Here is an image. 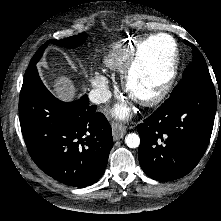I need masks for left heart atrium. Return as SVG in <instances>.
Returning <instances> with one entry per match:
<instances>
[{"instance_id":"left-heart-atrium-1","label":"left heart atrium","mask_w":221,"mask_h":221,"mask_svg":"<svg viewBox=\"0 0 221 221\" xmlns=\"http://www.w3.org/2000/svg\"><path fill=\"white\" fill-rule=\"evenodd\" d=\"M116 113H118L119 115H127L129 113V110L125 106H120L117 108Z\"/></svg>"}]
</instances>
